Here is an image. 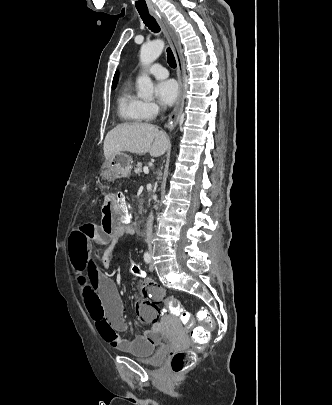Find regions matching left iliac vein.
<instances>
[{
    "label": "left iliac vein",
    "mask_w": 332,
    "mask_h": 405,
    "mask_svg": "<svg viewBox=\"0 0 332 405\" xmlns=\"http://www.w3.org/2000/svg\"><path fill=\"white\" fill-rule=\"evenodd\" d=\"M149 268H150V270H154V264H153V261H151V264H150V266H149Z\"/></svg>",
    "instance_id": "left-iliac-vein-1"
}]
</instances>
